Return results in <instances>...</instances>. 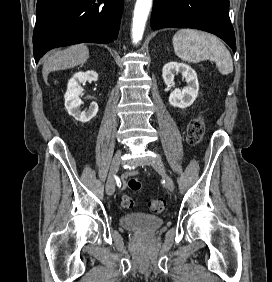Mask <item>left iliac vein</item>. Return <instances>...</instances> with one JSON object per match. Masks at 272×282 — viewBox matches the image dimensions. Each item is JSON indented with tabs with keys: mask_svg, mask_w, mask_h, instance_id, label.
I'll list each match as a JSON object with an SVG mask.
<instances>
[{
	"mask_svg": "<svg viewBox=\"0 0 272 282\" xmlns=\"http://www.w3.org/2000/svg\"><path fill=\"white\" fill-rule=\"evenodd\" d=\"M154 167L159 171V173L164 178L165 187L169 191H173L175 188L174 182L172 178L167 174L164 163L161 160V158L159 157L156 158V163L154 164Z\"/></svg>",
	"mask_w": 272,
	"mask_h": 282,
	"instance_id": "1",
	"label": "left iliac vein"
}]
</instances>
